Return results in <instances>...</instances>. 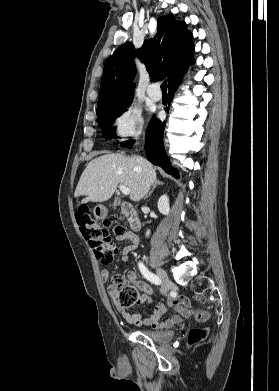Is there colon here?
<instances>
[{
  "label": "colon",
  "instance_id": "obj_1",
  "mask_svg": "<svg viewBox=\"0 0 279 391\" xmlns=\"http://www.w3.org/2000/svg\"><path fill=\"white\" fill-rule=\"evenodd\" d=\"M76 221L82 236L89 243L96 258L103 264L111 263L118 252V246L109 233L115 220L109 218L98 221L93 218L89 209L83 208L76 213ZM114 231L117 236L125 234L119 223L115 224ZM115 284L119 291V304L122 307H130L137 303L139 293L133 285L126 283L122 277H117ZM208 334L207 328L192 329L188 335V345L195 346L206 339Z\"/></svg>",
  "mask_w": 279,
  "mask_h": 391
}]
</instances>
